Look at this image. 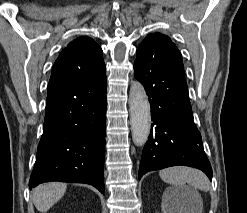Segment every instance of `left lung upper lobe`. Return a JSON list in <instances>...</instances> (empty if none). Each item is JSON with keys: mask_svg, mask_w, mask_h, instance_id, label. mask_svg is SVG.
Returning <instances> with one entry per match:
<instances>
[{"mask_svg": "<svg viewBox=\"0 0 247 213\" xmlns=\"http://www.w3.org/2000/svg\"><path fill=\"white\" fill-rule=\"evenodd\" d=\"M160 59L183 63L179 50L168 36L161 33L149 34L139 45L136 60L151 62Z\"/></svg>", "mask_w": 247, "mask_h": 213, "instance_id": "obj_1", "label": "left lung upper lobe"}]
</instances>
